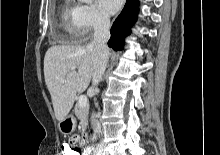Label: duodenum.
<instances>
[{"label": "duodenum", "mask_w": 220, "mask_h": 155, "mask_svg": "<svg viewBox=\"0 0 220 155\" xmlns=\"http://www.w3.org/2000/svg\"><path fill=\"white\" fill-rule=\"evenodd\" d=\"M85 140H88V136L87 135H85ZM88 154H90V148H87L86 149V155H88Z\"/></svg>", "instance_id": "1"}]
</instances>
